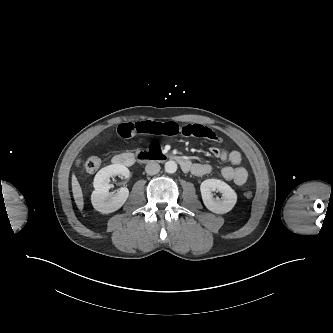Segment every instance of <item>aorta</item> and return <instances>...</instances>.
Here are the masks:
<instances>
[{"mask_svg":"<svg viewBox=\"0 0 333 333\" xmlns=\"http://www.w3.org/2000/svg\"><path fill=\"white\" fill-rule=\"evenodd\" d=\"M164 167L167 173H175L177 171V163L173 160L167 161Z\"/></svg>","mask_w":333,"mask_h":333,"instance_id":"1","label":"aorta"}]
</instances>
